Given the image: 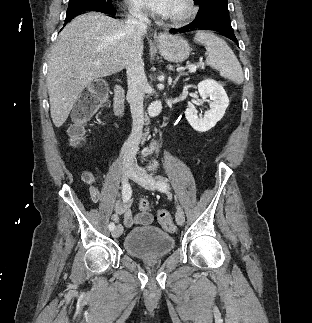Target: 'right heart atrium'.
<instances>
[{"instance_id": "obj_1", "label": "right heart atrium", "mask_w": 312, "mask_h": 323, "mask_svg": "<svg viewBox=\"0 0 312 323\" xmlns=\"http://www.w3.org/2000/svg\"><path fill=\"white\" fill-rule=\"evenodd\" d=\"M128 13H131L132 17H149V10H138L137 6H128Z\"/></svg>"}]
</instances>
